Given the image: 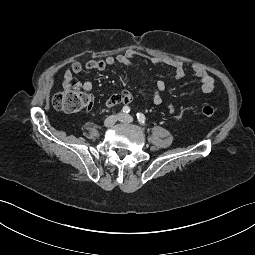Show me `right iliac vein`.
I'll return each mask as SVG.
<instances>
[{
    "mask_svg": "<svg viewBox=\"0 0 255 255\" xmlns=\"http://www.w3.org/2000/svg\"><path fill=\"white\" fill-rule=\"evenodd\" d=\"M122 114H117V115H111L109 117H107L104 121V127H112L117 120H119L121 118Z\"/></svg>",
    "mask_w": 255,
    "mask_h": 255,
    "instance_id": "1",
    "label": "right iliac vein"
}]
</instances>
